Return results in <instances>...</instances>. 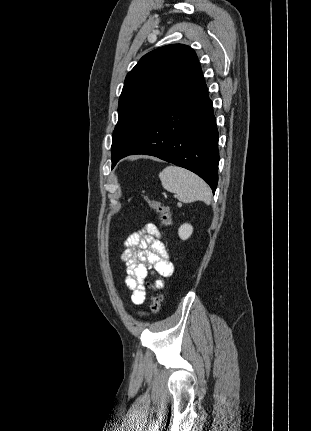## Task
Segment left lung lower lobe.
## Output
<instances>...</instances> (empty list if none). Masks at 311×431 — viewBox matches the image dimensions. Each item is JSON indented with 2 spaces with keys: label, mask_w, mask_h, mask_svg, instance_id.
<instances>
[{
  "label": "left lung lower lobe",
  "mask_w": 311,
  "mask_h": 431,
  "mask_svg": "<svg viewBox=\"0 0 311 431\" xmlns=\"http://www.w3.org/2000/svg\"><path fill=\"white\" fill-rule=\"evenodd\" d=\"M147 154L186 168L204 179L213 193L218 182V131L201 68L161 108L142 135L116 163Z\"/></svg>",
  "instance_id": "obj_1"
}]
</instances>
